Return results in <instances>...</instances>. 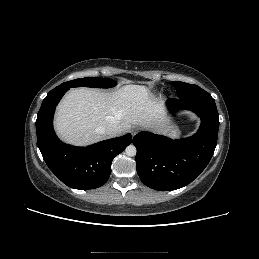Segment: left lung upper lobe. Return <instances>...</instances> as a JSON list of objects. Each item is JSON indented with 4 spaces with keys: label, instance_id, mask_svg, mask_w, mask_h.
I'll list each match as a JSON object with an SVG mask.
<instances>
[{
    "label": "left lung upper lobe",
    "instance_id": "5c2ea615",
    "mask_svg": "<svg viewBox=\"0 0 259 259\" xmlns=\"http://www.w3.org/2000/svg\"><path fill=\"white\" fill-rule=\"evenodd\" d=\"M171 84L175 87L179 99L211 96L197 85L177 81H173Z\"/></svg>",
    "mask_w": 259,
    "mask_h": 259
}]
</instances>
